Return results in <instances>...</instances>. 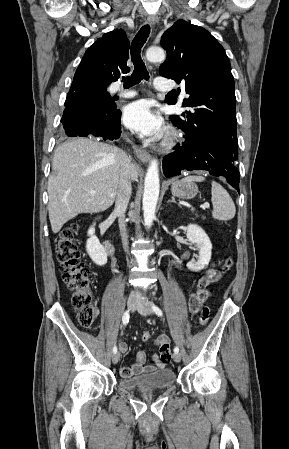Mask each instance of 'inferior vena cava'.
<instances>
[{
  "label": "inferior vena cava",
  "instance_id": "obj_1",
  "mask_svg": "<svg viewBox=\"0 0 289 449\" xmlns=\"http://www.w3.org/2000/svg\"><path fill=\"white\" fill-rule=\"evenodd\" d=\"M132 164L128 157L126 164L120 174L116 202H115V212L118 215V224L120 229V234L122 238L123 248L127 252L128 248V235L126 232L125 224V212L132 194L131 179H132Z\"/></svg>",
  "mask_w": 289,
  "mask_h": 449
}]
</instances>
